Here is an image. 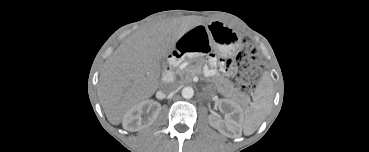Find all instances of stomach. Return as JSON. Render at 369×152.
Wrapping results in <instances>:
<instances>
[{"label": "stomach", "instance_id": "1", "mask_svg": "<svg viewBox=\"0 0 369 152\" xmlns=\"http://www.w3.org/2000/svg\"><path fill=\"white\" fill-rule=\"evenodd\" d=\"M215 50L229 56L240 42V36L229 26L221 22H213L206 29Z\"/></svg>", "mask_w": 369, "mask_h": 152}]
</instances>
